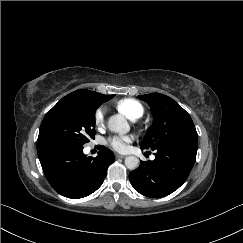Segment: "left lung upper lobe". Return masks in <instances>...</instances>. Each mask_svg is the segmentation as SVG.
<instances>
[{"label": "left lung upper lobe", "instance_id": "obj_1", "mask_svg": "<svg viewBox=\"0 0 243 243\" xmlns=\"http://www.w3.org/2000/svg\"><path fill=\"white\" fill-rule=\"evenodd\" d=\"M138 98L149 104L153 115V124L140 146L143 149L155 150L168 141L197 136L190 115L172 98L160 93Z\"/></svg>", "mask_w": 243, "mask_h": 243}]
</instances>
